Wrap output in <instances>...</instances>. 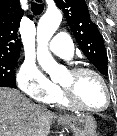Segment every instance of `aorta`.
I'll list each match as a JSON object with an SVG mask.
<instances>
[{
  "label": "aorta",
  "mask_w": 117,
  "mask_h": 136,
  "mask_svg": "<svg viewBox=\"0 0 117 136\" xmlns=\"http://www.w3.org/2000/svg\"><path fill=\"white\" fill-rule=\"evenodd\" d=\"M62 21V14L59 10L47 11L39 20L37 25V60L44 71L52 79L58 76L63 70L48 50V43Z\"/></svg>",
  "instance_id": "1"
}]
</instances>
